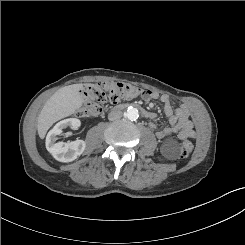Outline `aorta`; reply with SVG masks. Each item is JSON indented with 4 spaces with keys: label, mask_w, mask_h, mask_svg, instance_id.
<instances>
[{
    "label": "aorta",
    "mask_w": 245,
    "mask_h": 245,
    "mask_svg": "<svg viewBox=\"0 0 245 245\" xmlns=\"http://www.w3.org/2000/svg\"><path fill=\"white\" fill-rule=\"evenodd\" d=\"M125 117L129 120H136L139 117V112L134 107H128L127 111L125 112Z\"/></svg>",
    "instance_id": "aorta-1"
}]
</instances>
